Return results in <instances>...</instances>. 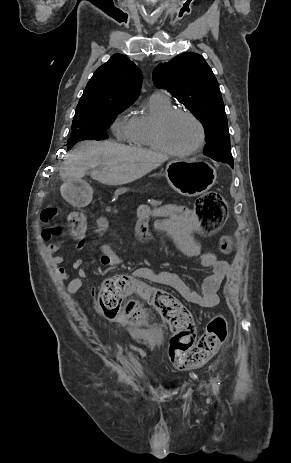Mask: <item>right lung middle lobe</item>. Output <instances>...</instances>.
<instances>
[{
  "label": "right lung middle lobe",
  "mask_w": 291,
  "mask_h": 463,
  "mask_svg": "<svg viewBox=\"0 0 291 463\" xmlns=\"http://www.w3.org/2000/svg\"><path fill=\"white\" fill-rule=\"evenodd\" d=\"M132 104L106 102L92 111L75 114L72 122V132L68 139L70 149L83 140H102L108 137L106 131L115 117Z\"/></svg>",
  "instance_id": "dd1d6c3e"
}]
</instances>
